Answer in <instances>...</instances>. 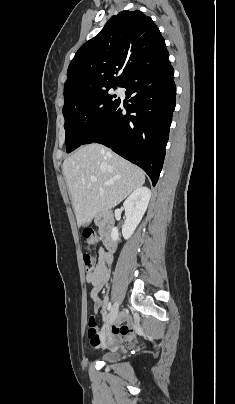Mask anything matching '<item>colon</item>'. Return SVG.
<instances>
[{
    "label": "colon",
    "instance_id": "5ec220e1",
    "mask_svg": "<svg viewBox=\"0 0 235 404\" xmlns=\"http://www.w3.org/2000/svg\"><path fill=\"white\" fill-rule=\"evenodd\" d=\"M84 236H85L88 244H94L98 241V235L93 229L85 230ZM83 262H84L86 271L90 272L92 269H94L95 257L91 252H89L88 249L83 253ZM96 326H97L96 316L92 315L89 318V329H91L93 332H95Z\"/></svg>",
    "mask_w": 235,
    "mask_h": 404
}]
</instances>
